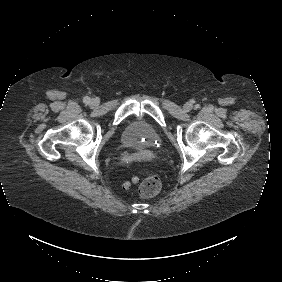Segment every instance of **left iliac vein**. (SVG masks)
I'll use <instances>...</instances> for the list:
<instances>
[{
  "label": "left iliac vein",
  "instance_id": "left-iliac-vein-1",
  "mask_svg": "<svg viewBox=\"0 0 282 282\" xmlns=\"http://www.w3.org/2000/svg\"><path fill=\"white\" fill-rule=\"evenodd\" d=\"M191 108H192V105H191L190 103H186V104L184 105V110H185V111H189V110H191Z\"/></svg>",
  "mask_w": 282,
  "mask_h": 282
}]
</instances>
